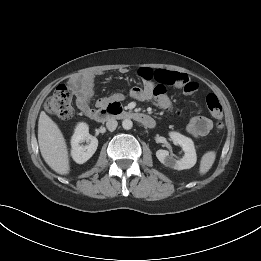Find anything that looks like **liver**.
I'll use <instances>...</instances> for the list:
<instances>
[{
  "label": "liver",
  "mask_w": 261,
  "mask_h": 261,
  "mask_svg": "<svg viewBox=\"0 0 261 261\" xmlns=\"http://www.w3.org/2000/svg\"><path fill=\"white\" fill-rule=\"evenodd\" d=\"M38 143L45 162L56 173L66 175L70 171L68 149L58 125L44 111L38 121Z\"/></svg>",
  "instance_id": "6515ba94"
}]
</instances>
